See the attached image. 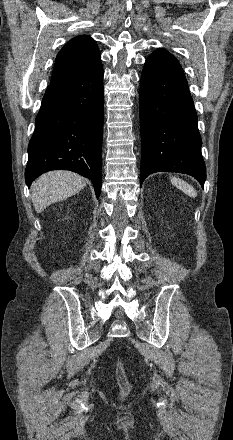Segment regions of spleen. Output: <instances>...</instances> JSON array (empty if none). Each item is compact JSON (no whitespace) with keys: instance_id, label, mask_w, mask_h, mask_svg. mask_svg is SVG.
Masks as SVG:
<instances>
[{"instance_id":"1","label":"spleen","mask_w":233,"mask_h":440,"mask_svg":"<svg viewBox=\"0 0 233 440\" xmlns=\"http://www.w3.org/2000/svg\"><path fill=\"white\" fill-rule=\"evenodd\" d=\"M170 180H171V183L175 187H177L178 189L183 191L188 196H190L192 198H195L197 196V191L193 188V186H191L190 184H188L184 180L177 178V177H172Z\"/></svg>"}]
</instances>
